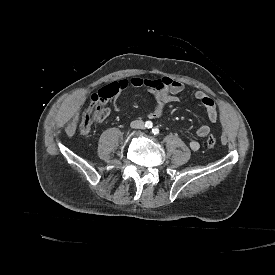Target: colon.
<instances>
[{"label": "colon", "mask_w": 275, "mask_h": 275, "mask_svg": "<svg viewBox=\"0 0 275 275\" xmlns=\"http://www.w3.org/2000/svg\"><path fill=\"white\" fill-rule=\"evenodd\" d=\"M108 107L103 103L93 102L87 110L84 112L81 121L80 127L84 132H87L91 129V124L97 120L104 119L108 114ZM216 139L214 136L207 137V144L209 146H214Z\"/></svg>", "instance_id": "obj_1"}]
</instances>
